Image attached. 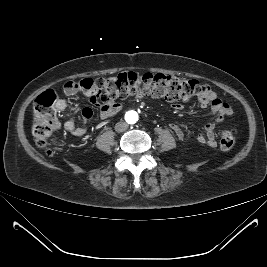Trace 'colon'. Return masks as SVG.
Masks as SVG:
<instances>
[{"label": "colon", "instance_id": "5ec220e1", "mask_svg": "<svg viewBox=\"0 0 267 267\" xmlns=\"http://www.w3.org/2000/svg\"><path fill=\"white\" fill-rule=\"evenodd\" d=\"M76 85L85 90L92 102L103 104L130 96L163 98L169 102L188 100L207 91V86L194 79L179 78L164 74L123 72L116 76L76 81ZM57 94L54 91L42 93L34 103V123L32 134L40 147L47 145L52 132L59 126L55 104ZM235 145V136L231 130L220 135V147L228 151Z\"/></svg>", "mask_w": 267, "mask_h": 267}]
</instances>
